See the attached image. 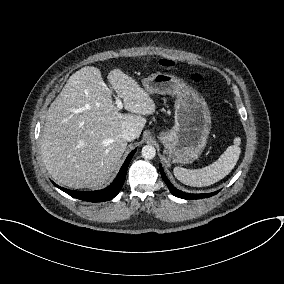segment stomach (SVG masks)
<instances>
[{
    "instance_id": "0dacf381",
    "label": "stomach",
    "mask_w": 284,
    "mask_h": 284,
    "mask_svg": "<svg viewBox=\"0 0 284 284\" xmlns=\"http://www.w3.org/2000/svg\"><path fill=\"white\" fill-rule=\"evenodd\" d=\"M150 94H170L177 97L175 124L159 134L164 155L172 163L189 164L203 152L211 129L210 111L204 98L182 79L157 72L143 79Z\"/></svg>"
}]
</instances>
